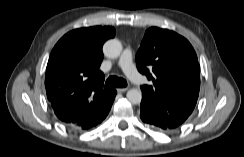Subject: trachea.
Instances as JSON below:
<instances>
[{"label":"trachea","instance_id":"3493384b","mask_svg":"<svg viewBox=\"0 0 244 157\" xmlns=\"http://www.w3.org/2000/svg\"><path fill=\"white\" fill-rule=\"evenodd\" d=\"M127 82L123 78H119L117 76H111L109 77L106 82H105V88L110 89V88H115V87H126Z\"/></svg>","mask_w":244,"mask_h":157}]
</instances>
